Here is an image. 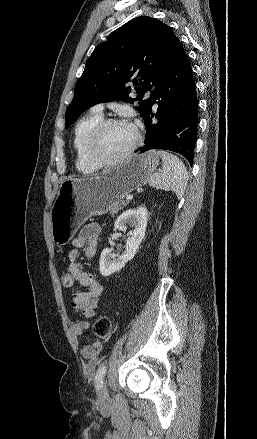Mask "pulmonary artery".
Here are the masks:
<instances>
[{
    "label": "pulmonary artery",
    "mask_w": 257,
    "mask_h": 439,
    "mask_svg": "<svg viewBox=\"0 0 257 439\" xmlns=\"http://www.w3.org/2000/svg\"><path fill=\"white\" fill-rule=\"evenodd\" d=\"M94 110L97 111V112H102L103 107H102V105H96V106L94 107Z\"/></svg>",
    "instance_id": "e3ab8cb5"
}]
</instances>
